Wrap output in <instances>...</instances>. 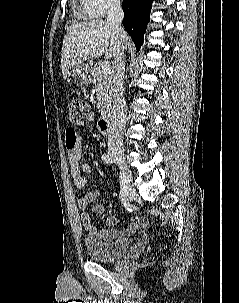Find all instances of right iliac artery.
<instances>
[{"label": "right iliac artery", "mask_w": 239, "mask_h": 303, "mask_svg": "<svg viewBox=\"0 0 239 303\" xmlns=\"http://www.w3.org/2000/svg\"><path fill=\"white\" fill-rule=\"evenodd\" d=\"M102 160L105 163H112V159L110 158V156L108 154H103L102 155ZM126 172L125 171H119V182L121 183V190H120V198L122 200H125L127 195H128V190H127V186L125 185V176Z\"/></svg>", "instance_id": "82829eb1"}]
</instances>
